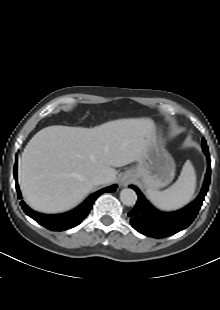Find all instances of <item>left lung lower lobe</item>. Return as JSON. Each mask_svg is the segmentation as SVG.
Listing matches in <instances>:
<instances>
[{"label":"left lung lower lobe","mask_w":220,"mask_h":310,"mask_svg":"<svg viewBox=\"0 0 220 310\" xmlns=\"http://www.w3.org/2000/svg\"><path fill=\"white\" fill-rule=\"evenodd\" d=\"M203 151L207 157L208 169L202 190L195 201L181 210L169 213L160 212L145 199L137 187L130 186L138 194V201L128 214L131 218V225L135 230L148 237L165 238L187 228L193 222L208 191L211 178L208 148Z\"/></svg>","instance_id":"1"}]
</instances>
